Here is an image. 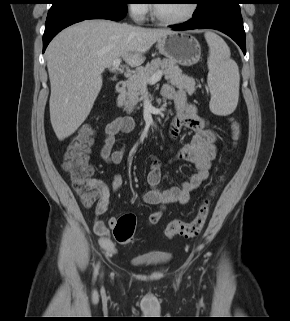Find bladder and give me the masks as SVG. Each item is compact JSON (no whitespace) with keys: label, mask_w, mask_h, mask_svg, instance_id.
I'll return each instance as SVG.
<instances>
[{"label":"bladder","mask_w":290,"mask_h":321,"mask_svg":"<svg viewBox=\"0 0 290 321\" xmlns=\"http://www.w3.org/2000/svg\"><path fill=\"white\" fill-rule=\"evenodd\" d=\"M171 254H159L155 256L135 257L131 262L135 265H149L157 263H165L171 259Z\"/></svg>","instance_id":"31cf9c89"}]
</instances>
